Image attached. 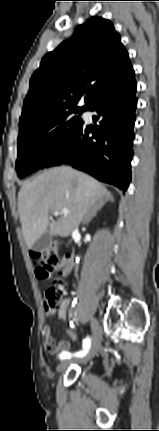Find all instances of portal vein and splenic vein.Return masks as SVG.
I'll list each match as a JSON object with an SVG mask.
<instances>
[{"label":"portal vein and splenic vein","mask_w":159,"mask_h":431,"mask_svg":"<svg viewBox=\"0 0 159 431\" xmlns=\"http://www.w3.org/2000/svg\"><path fill=\"white\" fill-rule=\"evenodd\" d=\"M61 213H63L64 215H67L68 213H69V211L67 210V209H63L61 212H59V211H54L53 212V215L54 216H59Z\"/></svg>","instance_id":"portal-vein-and-splenic-vein-1"}]
</instances>
